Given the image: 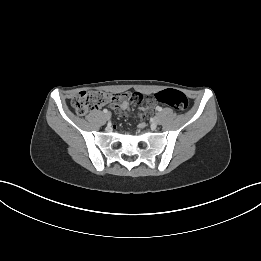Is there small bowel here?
I'll list each match as a JSON object with an SVG mask.
<instances>
[{"label": "small bowel", "mask_w": 261, "mask_h": 261, "mask_svg": "<svg viewBox=\"0 0 261 261\" xmlns=\"http://www.w3.org/2000/svg\"><path fill=\"white\" fill-rule=\"evenodd\" d=\"M130 102L135 103L137 106H142V113H148L153 108L155 98L148 97L146 94L126 92L118 95V103H113L112 107L119 112H123L129 109Z\"/></svg>", "instance_id": "obj_1"}]
</instances>
